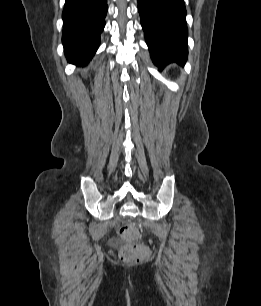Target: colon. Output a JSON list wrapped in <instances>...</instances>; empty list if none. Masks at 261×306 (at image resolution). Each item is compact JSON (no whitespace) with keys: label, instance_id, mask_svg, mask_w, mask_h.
Here are the masks:
<instances>
[{"label":"colon","instance_id":"obj_1","mask_svg":"<svg viewBox=\"0 0 261 306\" xmlns=\"http://www.w3.org/2000/svg\"><path fill=\"white\" fill-rule=\"evenodd\" d=\"M138 236V231L133 225H126L120 230V237L123 240V245L120 249V256L123 260L129 262H140L148 257V249L135 243Z\"/></svg>","mask_w":261,"mask_h":306}]
</instances>
